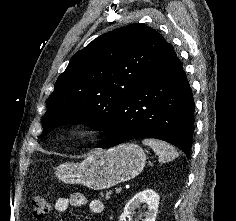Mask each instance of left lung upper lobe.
<instances>
[{
	"label": "left lung upper lobe",
	"instance_id": "obj_1",
	"mask_svg": "<svg viewBox=\"0 0 236 221\" xmlns=\"http://www.w3.org/2000/svg\"><path fill=\"white\" fill-rule=\"evenodd\" d=\"M166 42L156 30L135 23L76 52L47 100L43 135L66 123L107 130Z\"/></svg>",
	"mask_w": 236,
	"mask_h": 221
}]
</instances>
